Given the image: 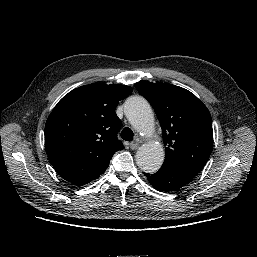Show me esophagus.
Masks as SVG:
<instances>
[{
  "label": "esophagus",
  "mask_w": 257,
  "mask_h": 257,
  "mask_svg": "<svg viewBox=\"0 0 257 257\" xmlns=\"http://www.w3.org/2000/svg\"><path fill=\"white\" fill-rule=\"evenodd\" d=\"M139 147V143L138 142H132L130 143V148L132 150H136Z\"/></svg>",
  "instance_id": "34e87169"
}]
</instances>
